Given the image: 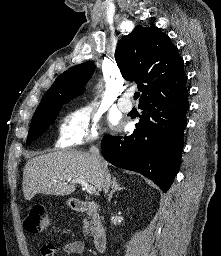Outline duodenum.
Returning a JSON list of instances; mask_svg holds the SVG:
<instances>
[{
  "label": "duodenum",
  "instance_id": "obj_1",
  "mask_svg": "<svg viewBox=\"0 0 221 256\" xmlns=\"http://www.w3.org/2000/svg\"><path fill=\"white\" fill-rule=\"evenodd\" d=\"M72 206L77 212H88L93 216L95 220L92 233L93 244L97 251L104 252L107 246V234L104 225L100 221L98 204L90 201L74 200Z\"/></svg>",
  "mask_w": 221,
  "mask_h": 256
}]
</instances>
